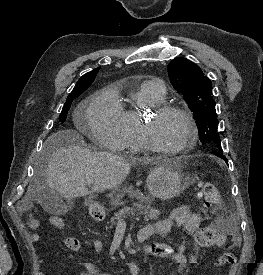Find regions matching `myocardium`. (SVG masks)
<instances>
[{
    "label": "myocardium",
    "mask_w": 263,
    "mask_h": 275,
    "mask_svg": "<svg viewBox=\"0 0 263 275\" xmlns=\"http://www.w3.org/2000/svg\"><path fill=\"white\" fill-rule=\"evenodd\" d=\"M168 114H176L183 117L189 126L188 137L184 143L176 149H164L159 147L153 141L150 133V119ZM140 133L147 150L158 155L175 156L194 147L198 139V125L193 114L189 110L171 104H157L152 106L148 113L141 118Z\"/></svg>",
    "instance_id": "myocardium-1"
}]
</instances>
